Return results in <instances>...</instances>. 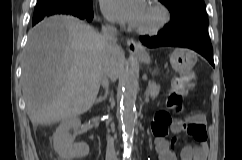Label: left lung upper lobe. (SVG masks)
I'll return each mask as SVG.
<instances>
[{"label":"left lung upper lobe","instance_id":"5c2ea615","mask_svg":"<svg viewBox=\"0 0 242 160\" xmlns=\"http://www.w3.org/2000/svg\"><path fill=\"white\" fill-rule=\"evenodd\" d=\"M170 11L171 21L164 27L175 34L192 26H208L203 0H159Z\"/></svg>","mask_w":242,"mask_h":160}]
</instances>
